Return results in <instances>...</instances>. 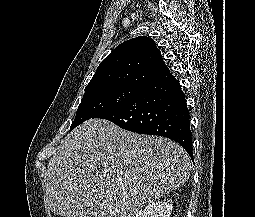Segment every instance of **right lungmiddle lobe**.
I'll list each match as a JSON object with an SVG mask.
<instances>
[{
  "mask_svg": "<svg viewBox=\"0 0 255 217\" xmlns=\"http://www.w3.org/2000/svg\"><path fill=\"white\" fill-rule=\"evenodd\" d=\"M146 86L118 84L85 91L70 130L96 115L116 108L140 94Z\"/></svg>",
  "mask_w": 255,
  "mask_h": 217,
  "instance_id": "obj_1",
  "label": "right lung middle lobe"
}]
</instances>
